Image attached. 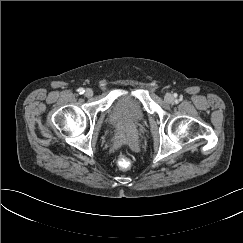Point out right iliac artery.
Instances as JSON below:
<instances>
[{
    "label": "right iliac artery",
    "mask_w": 243,
    "mask_h": 243,
    "mask_svg": "<svg viewBox=\"0 0 243 243\" xmlns=\"http://www.w3.org/2000/svg\"><path fill=\"white\" fill-rule=\"evenodd\" d=\"M84 92H85V91H84L83 88H79V89H78V93H79V94H83Z\"/></svg>",
    "instance_id": "82829eb1"
}]
</instances>
